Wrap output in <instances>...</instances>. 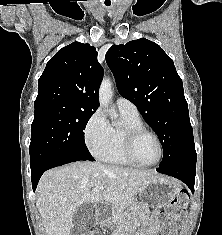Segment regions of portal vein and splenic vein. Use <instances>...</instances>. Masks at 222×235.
Masks as SVG:
<instances>
[{
    "label": "portal vein and splenic vein",
    "mask_w": 222,
    "mask_h": 235,
    "mask_svg": "<svg viewBox=\"0 0 222 235\" xmlns=\"http://www.w3.org/2000/svg\"><path fill=\"white\" fill-rule=\"evenodd\" d=\"M103 189H104L103 186H97V187H95V188L93 189V191H94V192H99V191H101V190H103Z\"/></svg>",
    "instance_id": "1"
}]
</instances>
